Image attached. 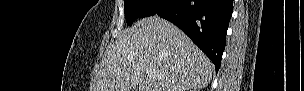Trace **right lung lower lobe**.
<instances>
[{
	"label": "right lung lower lobe",
	"instance_id": "right-lung-lower-lobe-1",
	"mask_svg": "<svg viewBox=\"0 0 304 91\" xmlns=\"http://www.w3.org/2000/svg\"><path fill=\"white\" fill-rule=\"evenodd\" d=\"M233 0H170L156 15L178 26L212 60L221 65Z\"/></svg>",
	"mask_w": 304,
	"mask_h": 91
}]
</instances>
